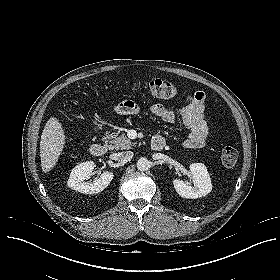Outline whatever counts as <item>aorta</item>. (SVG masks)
<instances>
[{
  "label": "aorta",
  "mask_w": 280,
  "mask_h": 280,
  "mask_svg": "<svg viewBox=\"0 0 280 280\" xmlns=\"http://www.w3.org/2000/svg\"><path fill=\"white\" fill-rule=\"evenodd\" d=\"M136 165H137V169L139 171H146L150 167V161L145 157H141V158L138 159Z\"/></svg>",
  "instance_id": "obj_1"
}]
</instances>
